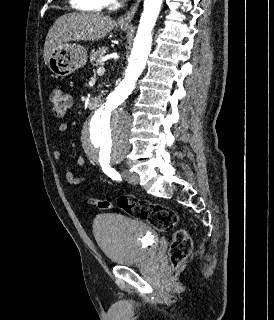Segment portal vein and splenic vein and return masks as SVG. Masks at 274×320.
<instances>
[{"label":"portal vein and splenic vein","instance_id":"18ae733b","mask_svg":"<svg viewBox=\"0 0 274 320\" xmlns=\"http://www.w3.org/2000/svg\"><path fill=\"white\" fill-rule=\"evenodd\" d=\"M104 68H98L97 72H103Z\"/></svg>","mask_w":274,"mask_h":320}]
</instances>
